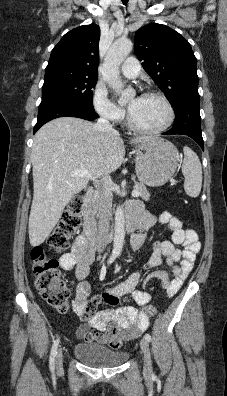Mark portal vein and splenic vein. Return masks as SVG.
<instances>
[{"mask_svg": "<svg viewBox=\"0 0 227 396\" xmlns=\"http://www.w3.org/2000/svg\"><path fill=\"white\" fill-rule=\"evenodd\" d=\"M70 175H71L72 177H87V178H89V179H91V180H93V181H95V182L97 181L95 177H93L91 174L88 173L87 170H84V169H80V170H77V171H73V172L70 173ZM132 195H133L134 197H138V196H139V191L136 190V189H134V190L132 191Z\"/></svg>", "mask_w": 227, "mask_h": 396, "instance_id": "portal-vein-and-splenic-vein-1", "label": "portal vein and splenic vein"}]
</instances>
